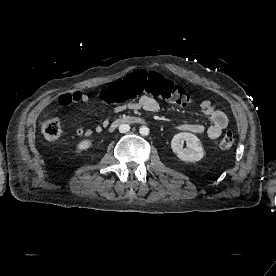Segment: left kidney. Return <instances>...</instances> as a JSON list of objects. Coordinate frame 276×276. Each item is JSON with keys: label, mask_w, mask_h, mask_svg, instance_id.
<instances>
[{"label": "left kidney", "mask_w": 276, "mask_h": 276, "mask_svg": "<svg viewBox=\"0 0 276 276\" xmlns=\"http://www.w3.org/2000/svg\"><path fill=\"white\" fill-rule=\"evenodd\" d=\"M184 142L187 144V149L183 148ZM171 148L179 159L186 162H197L204 156V149L200 139L188 132L176 134L171 141Z\"/></svg>", "instance_id": "obj_1"}]
</instances>
